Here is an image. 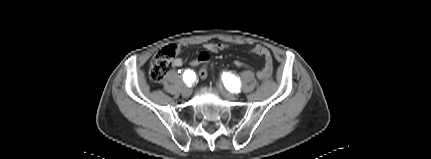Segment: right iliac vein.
Listing matches in <instances>:
<instances>
[{
  "mask_svg": "<svg viewBox=\"0 0 431 159\" xmlns=\"http://www.w3.org/2000/svg\"><path fill=\"white\" fill-rule=\"evenodd\" d=\"M191 93H192V91L188 86H184L182 91H181L182 96L185 98L189 97L191 95Z\"/></svg>",
  "mask_w": 431,
  "mask_h": 159,
  "instance_id": "63e3f726",
  "label": "right iliac vein"
}]
</instances>
